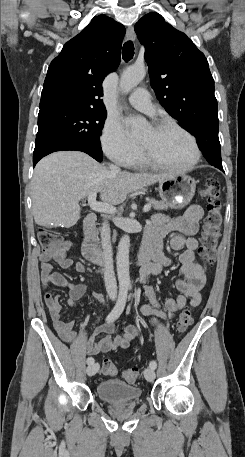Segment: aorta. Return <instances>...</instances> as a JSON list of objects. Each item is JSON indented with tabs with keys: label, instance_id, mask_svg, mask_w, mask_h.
<instances>
[{
	"label": "aorta",
	"instance_id": "obj_1",
	"mask_svg": "<svg viewBox=\"0 0 245 457\" xmlns=\"http://www.w3.org/2000/svg\"><path fill=\"white\" fill-rule=\"evenodd\" d=\"M145 75L146 70L142 65H133L126 68L120 80L121 91L123 93L130 92L144 79ZM125 122L133 133L141 132L147 126L146 120L141 117L130 116L126 118ZM129 249L130 238L128 235H124L119 241L116 255L117 275L121 286L130 285Z\"/></svg>",
	"mask_w": 245,
	"mask_h": 457
}]
</instances>
